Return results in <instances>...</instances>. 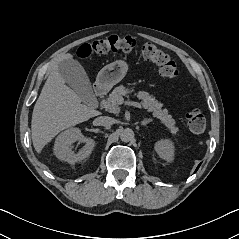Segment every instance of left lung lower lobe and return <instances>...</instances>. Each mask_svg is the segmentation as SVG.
Returning <instances> with one entry per match:
<instances>
[{
  "label": "left lung lower lobe",
  "instance_id": "1",
  "mask_svg": "<svg viewBox=\"0 0 239 239\" xmlns=\"http://www.w3.org/2000/svg\"><path fill=\"white\" fill-rule=\"evenodd\" d=\"M198 168H199V166L197 167L196 171L198 170ZM196 171H195V172H196Z\"/></svg>",
  "mask_w": 239,
  "mask_h": 239
}]
</instances>
